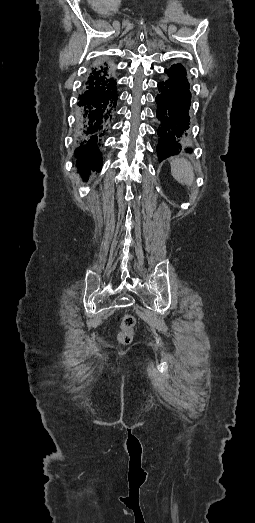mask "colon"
I'll return each instance as SVG.
<instances>
[{"instance_id":"1","label":"colon","mask_w":255,"mask_h":523,"mask_svg":"<svg viewBox=\"0 0 255 523\" xmlns=\"http://www.w3.org/2000/svg\"><path fill=\"white\" fill-rule=\"evenodd\" d=\"M119 331L117 339L121 344H130L133 340L136 319L131 314H123L119 317Z\"/></svg>"}]
</instances>
